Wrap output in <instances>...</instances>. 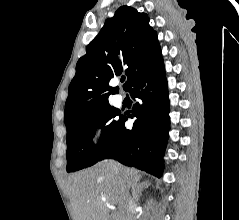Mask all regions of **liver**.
Listing matches in <instances>:
<instances>
[{
  "mask_svg": "<svg viewBox=\"0 0 239 220\" xmlns=\"http://www.w3.org/2000/svg\"><path fill=\"white\" fill-rule=\"evenodd\" d=\"M140 175L135 169L118 165L115 171L108 161L74 174L67 191L75 220H110L108 204L117 205L124 214L123 189L137 185Z\"/></svg>",
  "mask_w": 239,
  "mask_h": 220,
  "instance_id": "obj_1",
  "label": "liver"
}]
</instances>
